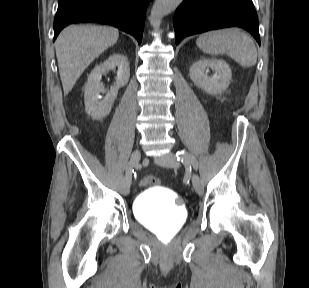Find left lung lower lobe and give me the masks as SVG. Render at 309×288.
<instances>
[{"mask_svg":"<svg viewBox=\"0 0 309 288\" xmlns=\"http://www.w3.org/2000/svg\"><path fill=\"white\" fill-rule=\"evenodd\" d=\"M231 26L246 29L260 45L258 17L252 0H183L174 16L175 42Z\"/></svg>","mask_w":309,"mask_h":288,"instance_id":"1","label":"left lung lower lobe"}]
</instances>
